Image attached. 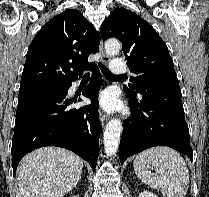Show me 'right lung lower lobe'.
I'll return each mask as SVG.
<instances>
[{
  "instance_id": "obj_1",
  "label": "right lung lower lobe",
  "mask_w": 209,
  "mask_h": 197,
  "mask_svg": "<svg viewBox=\"0 0 209 197\" xmlns=\"http://www.w3.org/2000/svg\"><path fill=\"white\" fill-rule=\"evenodd\" d=\"M92 71L91 82L82 93L91 99V105L69 107L76 102L66 97L71 83L62 91L18 101L11 149L14 173L25 154L44 146L69 149L95 169L102 132L97 101L102 78L97 66Z\"/></svg>"
}]
</instances>
